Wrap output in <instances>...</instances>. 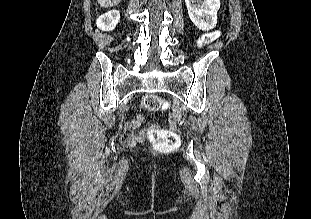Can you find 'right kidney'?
<instances>
[{"label":"right kidney","mask_w":311,"mask_h":219,"mask_svg":"<svg viewBox=\"0 0 311 219\" xmlns=\"http://www.w3.org/2000/svg\"><path fill=\"white\" fill-rule=\"evenodd\" d=\"M120 20V12L117 10H112L108 13L101 15L97 21L96 25L102 31L113 30Z\"/></svg>","instance_id":"right-kidney-1"}]
</instances>
